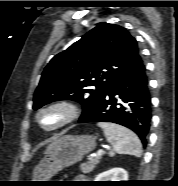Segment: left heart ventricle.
<instances>
[{
    "mask_svg": "<svg viewBox=\"0 0 178 186\" xmlns=\"http://www.w3.org/2000/svg\"><path fill=\"white\" fill-rule=\"evenodd\" d=\"M62 118H63L62 111L54 109L43 113L40 117V121L45 127H52L59 123L62 120Z\"/></svg>",
    "mask_w": 178,
    "mask_h": 186,
    "instance_id": "1",
    "label": "left heart ventricle"
}]
</instances>
